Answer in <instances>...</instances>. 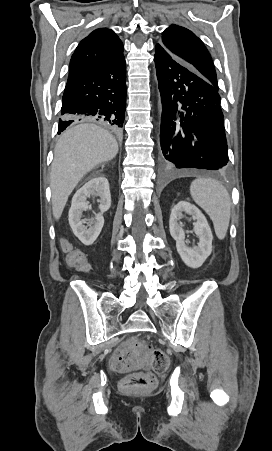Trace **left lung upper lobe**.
<instances>
[{
    "instance_id": "left-lung-upper-lobe-1",
    "label": "left lung upper lobe",
    "mask_w": 272,
    "mask_h": 451,
    "mask_svg": "<svg viewBox=\"0 0 272 451\" xmlns=\"http://www.w3.org/2000/svg\"><path fill=\"white\" fill-rule=\"evenodd\" d=\"M160 43L218 89L211 56L203 42L193 32L173 24L162 33Z\"/></svg>"
}]
</instances>
